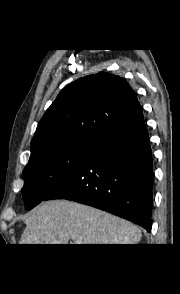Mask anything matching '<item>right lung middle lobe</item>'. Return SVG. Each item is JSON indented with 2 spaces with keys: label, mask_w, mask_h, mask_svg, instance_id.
Here are the masks:
<instances>
[{
  "label": "right lung middle lobe",
  "mask_w": 180,
  "mask_h": 294,
  "mask_svg": "<svg viewBox=\"0 0 180 294\" xmlns=\"http://www.w3.org/2000/svg\"><path fill=\"white\" fill-rule=\"evenodd\" d=\"M97 141L75 139L46 147L31 156L23 171V199L27 210L46 200L67 180L96 146Z\"/></svg>",
  "instance_id": "dd1d6c3e"
}]
</instances>
